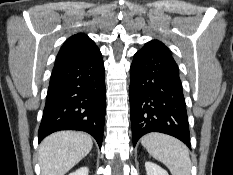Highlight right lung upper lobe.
I'll use <instances>...</instances> for the list:
<instances>
[{
    "label": "right lung upper lobe",
    "instance_id": "obj_1",
    "mask_svg": "<svg viewBox=\"0 0 233 175\" xmlns=\"http://www.w3.org/2000/svg\"><path fill=\"white\" fill-rule=\"evenodd\" d=\"M96 51H98L97 46L86 34H75L62 45L56 57L54 67L80 60Z\"/></svg>",
    "mask_w": 233,
    "mask_h": 175
}]
</instances>
